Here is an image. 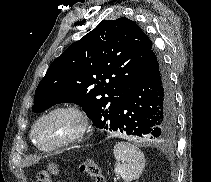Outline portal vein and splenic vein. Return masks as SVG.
<instances>
[{
  "label": "portal vein and splenic vein",
  "mask_w": 211,
  "mask_h": 182,
  "mask_svg": "<svg viewBox=\"0 0 211 182\" xmlns=\"http://www.w3.org/2000/svg\"><path fill=\"white\" fill-rule=\"evenodd\" d=\"M117 180H119V177H114V181H117Z\"/></svg>",
  "instance_id": "18ae733b"
}]
</instances>
